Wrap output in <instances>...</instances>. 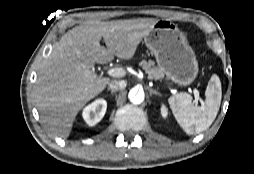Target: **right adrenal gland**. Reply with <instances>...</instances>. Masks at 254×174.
Wrapping results in <instances>:
<instances>
[{"label":"right adrenal gland","mask_w":254,"mask_h":174,"mask_svg":"<svg viewBox=\"0 0 254 174\" xmlns=\"http://www.w3.org/2000/svg\"><path fill=\"white\" fill-rule=\"evenodd\" d=\"M107 90L110 91L111 94H114V93H115V91L110 90L109 88H108Z\"/></svg>","instance_id":"2a0ac1e0"}]
</instances>
